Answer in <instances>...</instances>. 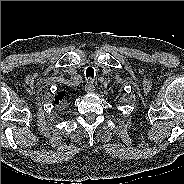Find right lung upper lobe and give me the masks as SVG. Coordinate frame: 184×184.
<instances>
[{
    "label": "right lung upper lobe",
    "mask_w": 184,
    "mask_h": 184,
    "mask_svg": "<svg viewBox=\"0 0 184 184\" xmlns=\"http://www.w3.org/2000/svg\"><path fill=\"white\" fill-rule=\"evenodd\" d=\"M65 92H60L55 96V104H59V102L63 99Z\"/></svg>",
    "instance_id": "obj_1"
}]
</instances>
